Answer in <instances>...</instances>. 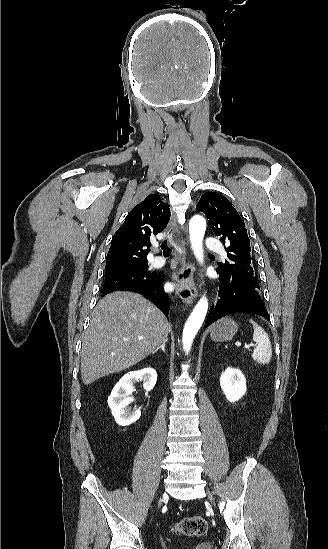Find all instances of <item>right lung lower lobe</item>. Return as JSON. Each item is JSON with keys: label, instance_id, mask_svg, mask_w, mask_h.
Returning a JSON list of instances; mask_svg holds the SVG:
<instances>
[{"label": "right lung lower lobe", "instance_id": "right-lung-lower-lobe-1", "mask_svg": "<svg viewBox=\"0 0 328 549\" xmlns=\"http://www.w3.org/2000/svg\"><path fill=\"white\" fill-rule=\"evenodd\" d=\"M163 279L164 273H160L157 275L156 279L147 286H132L124 290L133 291L146 296L150 301L155 303V305L165 314L166 317H168L170 309L169 296L163 289Z\"/></svg>", "mask_w": 328, "mask_h": 549}]
</instances>
